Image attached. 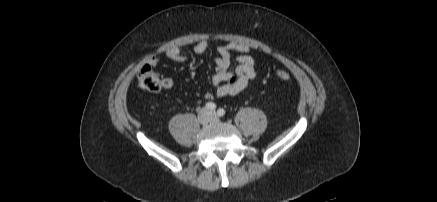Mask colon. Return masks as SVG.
Segmentation results:
<instances>
[{"mask_svg": "<svg viewBox=\"0 0 437 202\" xmlns=\"http://www.w3.org/2000/svg\"><path fill=\"white\" fill-rule=\"evenodd\" d=\"M276 76L282 81H288L290 79V74L284 70H278ZM137 79L139 86L147 91L158 92L163 87V80L149 64L141 67Z\"/></svg>", "mask_w": 437, "mask_h": 202, "instance_id": "1", "label": "colon"}]
</instances>
